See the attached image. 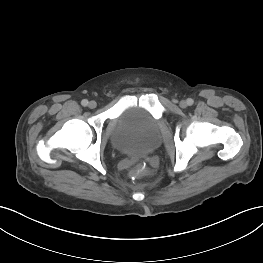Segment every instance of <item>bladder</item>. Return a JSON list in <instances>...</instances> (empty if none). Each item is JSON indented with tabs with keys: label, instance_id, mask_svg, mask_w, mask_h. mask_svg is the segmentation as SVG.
Listing matches in <instances>:
<instances>
[{
	"label": "bladder",
	"instance_id": "bladder-1",
	"mask_svg": "<svg viewBox=\"0 0 263 263\" xmlns=\"http://www.w3.org/2000/svg\"><path fill=\"white\" fill-rule=\"evenodd\" d=\"M158 120L138 106L125 108L116 120L111 143L118 151L128 155H145L160 144Z\"/></svg>",
	"mask_w": 263,
	"mask_h": 263
}]
</instances>
